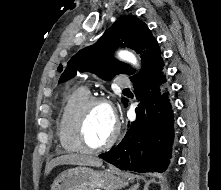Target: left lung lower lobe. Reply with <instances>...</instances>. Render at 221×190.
Returning <instances> with one entry per match:
<instances>
[{
    "label": "left lung lower lobe",
    "mask_w": 221,
    "mask_h": 190,
    "mask_svg": "<svg viewBox=\"0 0 221 190\" xmlns=\"http://www.w3.org/2000/svg\"><path fill=\"white\" fill-rule=\"evenodd\" d=\"M163 67L160 58L134 80V90L140 100L136 120L129 124L118 146L99 155L122 170L162 173L171 167L174 114Z\"/></svg>",
    "instance_id": "0a47b994"
}]
</instances>
